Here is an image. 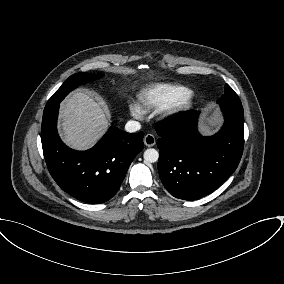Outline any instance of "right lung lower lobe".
Instances as JSON below:
<instances>
[{"mask_svg":"<svg viewBox=\"0 0 284 284\" xmlns=\"http://www.w3.org/2000/svg\"><path fill=\"white\" fill-rule=\"evenodd\" d=\"M59 104L43 112L41 141L49 172L62 190L86 203L100 204L119 190L126 172L144 148L143 132L111 127L91 149L68 148L57 133Z\"/></svg>","mask_w":284,"mask_h":284,"instance_id":"right-lung-lower-lobe-1","label":"right lung lower lobe"}]
</instances>
